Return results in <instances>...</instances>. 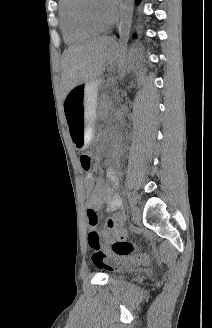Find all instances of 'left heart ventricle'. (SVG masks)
<instances>
[{"label":"left heart ventricle","mask_w":212,"mask_h":328,"mask_svg":"<svg viewBox=\"0 0 212 328\" xmlns=\"http://www.w3.org/2000/svg\"><path fill=\"white\" fill-rule=\"evenodd\" d=\"M88 8L91 16L99 23L108 22L113 15V10L104 3V0H90Z\"/></svg>","instance_id":"left-heart-ventricle-1"}]
</instances>
